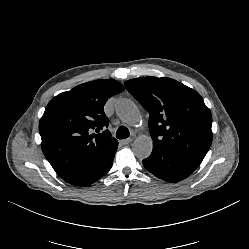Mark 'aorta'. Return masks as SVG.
I'll use <instances>...</instances> for the list:
<instances>
[{
	"instance_id": "obj_1",
	"label": "aorta",
	"mask_w": 249,
	"mask_h": 249,
	"mask_svg": "<svg viewBox=\"0 0 249 249\" xmlns=\"http://www.w3.org/2000/svg\"><path fill=\"white\" fill-rule=\"evenodd\" d=\"M115 110L118 117L130 126H136L141 121L139 109L130 99H119L115 104ZM152 149L153 141L148 136H138L133 142V153L138 159L149 157Z\"/></svg>"
}]
</instances>
